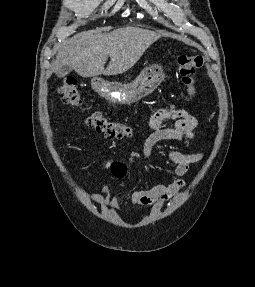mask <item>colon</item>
Segmentation results:
<instances>
[{"instance_id": "obj_1", "label": "colon", "mask_w": 255, "mask_h": 287, "mask_svg": "<svg viewBox=\"0 0 255 287\" xmlns=\"http://www.w3.org/2000/svg\"><path fill=\"white\" fill-rule=\"evenodd\" d=\"M203 65V59L197 55L182 54L177 57V71L181 81L186 87L187 95L191 98L195 94V71ZM59 94L64 104L79 107L82 104V97L73 78L64 80L59 87ZM87 124L98 133L108 138H123L132 134L131 126L112 121L106 118L101 112L94 111L86 119Z\"/></svg>"}]
</instances>
